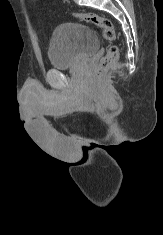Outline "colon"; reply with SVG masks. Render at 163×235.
<instances>
[{"mask_svg":"<svg viewBox=\"0 0 163 235\" xmlns=\"http://www.w3.org/2000/svg\"><path fill=\"white\" fill-rule=\"evenodd\" d=\"M73 16L79 21L85 22L89 25L98 28L102 32L104 38L107 41L113 42L116 39L115 28L109 20L99 16L89 15L84 13H74ZM117 59H118V49L115 45H111L107 50V54L104 56L99 65L98 73L99 74L106 73L107 70L110 68V66L116 63Z\"/></svg>","mask_w":163,"mask_h":235,"instance_id":"5ec220e1","label":"colon"}]
</instances>
